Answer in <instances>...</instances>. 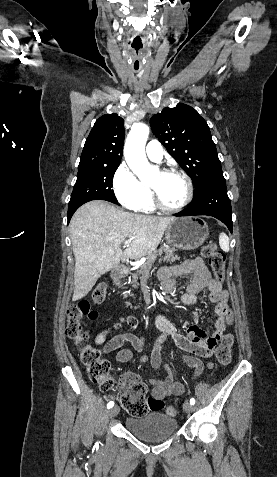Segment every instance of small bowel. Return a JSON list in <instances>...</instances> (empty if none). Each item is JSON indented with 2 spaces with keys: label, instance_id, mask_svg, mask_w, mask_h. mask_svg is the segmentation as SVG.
Returning <instances> with one entry per match:
<instances>
[{
  "label": "small bowel",
  "instance_id": "1",
  "mask_svg": "<svg viewBox=\"0 0 277 477\" xmlns=\"http://www.w3.org/2000/svg\"><path fill=\"white\" fill-rule=\"evenodd\" d=\"M192 275L191 282L187 285L186 291L181 295V301L185 305H192L196 302L197 295L203 289L209 292V299L216 303L214 312L217 316L214 333L207 336L206 332L198 325V314H193L194 323L187 328L185 334L177 331V328L163 315L156 320L157 327L162 334L156 340L150 356L140 357L141 363L149 362L153 369L157 370L161 366V347L168 337H171L177 347L182 350V361L194 370V377L199 376L204 370V364L199 357H210L217 341L223 336L226 324L224 315L230 309L228 305V292L223 289L221 281L213 278L205 262L201 258L187 260L180 264L164 266L159 271V278L166 291L175 287L176 279L184 275ZM127 324L131 329L137 327V321L132 317H121L106 330L100 332L95 338V344H104L102 351L110 353L120 349L124 343H130L132 349H120L116 354L118 363H126L133 359L135 353H141L145 348V340L136 333L127 332L117 334L107 341L110 332L117 330ZM208 368L213 367V363L207 364ZM166 378L164 380L150 379L153 386L152 397L163 400L165 397L179 396L184 392V385L174 380L173 369L169 365L164 366ZM122 383L141 382V376L137 373L127 372L122 375Z\"/></svg>",
  "mask_w": 277,
  "mask_h": 477
}]
</instances>
